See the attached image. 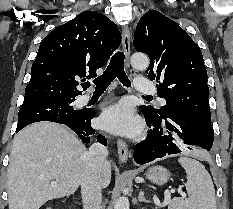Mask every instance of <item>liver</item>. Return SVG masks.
<instances>
[{
	"label": "liver",
	"instance_id": "liver-1",
	"mask_svg": "<svg viewBox=\"0 0 233 209\" xmlns=\"http://www.w3.org/2000/svg\"><path fill=\"white\" fill-rule=\"evenodd\" d=\"M86 153L84 144L59 124L38 122L24 128L14 137L10 153L9 209H39L49 200L72 195L81 185ZM110 181L107 161L101 172L102 187Z\"/></svg>",
	"mask_w": 233,
	"mask_h": 209
}]
</instances>
